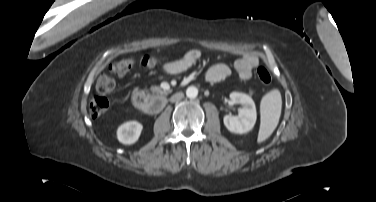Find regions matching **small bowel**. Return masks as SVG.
I'll return each instance as SVG.
<instances>
[{"label": "small bowel", "instance_id": "c3829d8e", "mask_svg": "<svg viewBox=\"0 0 376 202\" xmlns=\"http://www.w3.org/2000/svg\"><path fill=\"white\" fill-rule=\"evenodd\" d=\"M201 56L199 49H190L182 58L165 63L162 69L169 75L180 74L194 66L201 59ZM258 64L259 58L255 53L245 52L234 62V69L241 79L248 80L252 75V70ZM231 72V67L228 64L217 63L206 68L204 79L209 83H216L227 78Z\"/></svg>", "mask_w": 376, "mask_h": 202}]
</instances>
